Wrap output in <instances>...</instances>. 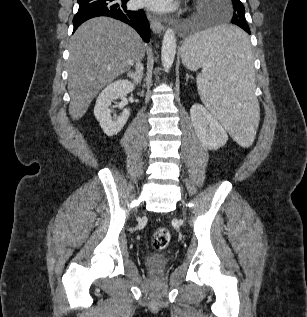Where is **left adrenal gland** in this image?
<instances>
[{
    "mask_svg": "<svg viewBox=\"0 0 307 317\" xmlns=\"http://www.w3.org/2000/svg\"><path fill=\"white\" fill-rule=\"evenodd\" d=\"M189 78H190V76L187 74L186 75V81H188Z\"/></svg>",
    "mask_w": 307,
    "mask_h": 317,
    "instance_id": "obj_1",
    "label": "left adrenal gland"
}]
</instances>
